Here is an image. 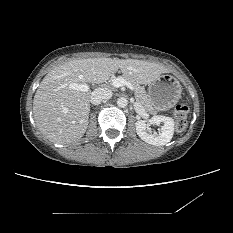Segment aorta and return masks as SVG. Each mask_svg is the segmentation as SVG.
<instances>
[{
  "mask_svg": "<svg viewBox=\"0 0 233 233\" xmlns=\"http://www.w3.org/2000/svg\"><path fill=\"white\" fill-rule=\"evenodd\" d=\"M118 107L125 108L128 105V100L125 97H119L117 99Z\"/></svg>",
  "mask_w": 233,
  "mask_h": 233,
  "instance_id": "aorta-1",
  "label": "aorta"
}]
</instances>
